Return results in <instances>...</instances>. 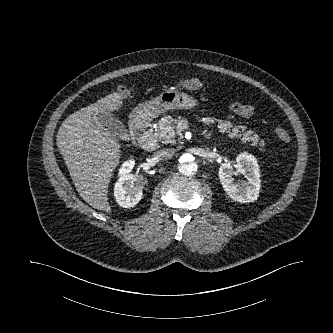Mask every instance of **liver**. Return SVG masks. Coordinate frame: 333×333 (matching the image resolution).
Instances as JSON below:
<instances>
[{"label": "liver", "instance_id": "liver-1", "mask_svg": "<svg viewBox=\"0 0 333 333\" xmlns=\"http://www.w3.org/2000/svg\"><path fill=\"white\" fill-rule=\"evenodd\" d=\"M122 92H113L70 115L59 128L57 144L72 181L83 200L97 210L111 212L108 185L119 163L120 144L95 123L100 112L118 111Z\"/></svg>", "mask_w": 333, "mask_h": 333}]
</instances>
